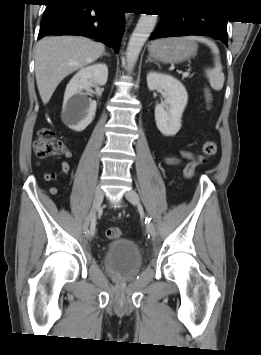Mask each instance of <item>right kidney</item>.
I'll use <instances>...</instances> for the list:
<instances>
[{
  "instance_id": "1",
  "label": "right kidney",
  "mask_w": 261,
  "mask_h": 355,
  "mask_svg": "<svg viewBox=\"0 0 261 355\" xmlns=\"http://www.w3.org/2000/svg\"><path fill=\"white\" fill-rule=\"evenodd\" d=\"M108 67L97 63L80 69L68 83L63 102L62 120L72 130L81 132L92 122L97 103L85 97L94 84L105 85Z\"/></svg>"
}]
</instances>
